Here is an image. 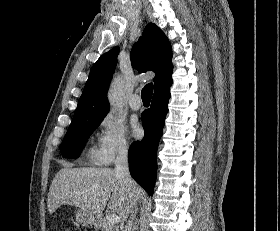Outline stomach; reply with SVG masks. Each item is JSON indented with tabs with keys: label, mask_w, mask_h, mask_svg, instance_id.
Segmentation results:
<instances>
[{
	"label": "stomach",
	"mask_w": 280,
	"mask_h": 231,
	"mask_svg": "<svg viewBox=\"0 0 280 231\" xmlns=\"http://www.w3.org/2000/svg\"><path fill=\"white\" fill-rule=\"evenodd\" d=\"M76 221L81 223V225H99L100 219H96V217H91L90 213L86 211V209H77L76 213Z\"/></svg>",
	"instance_id": "0dacf381"
}]
</instances>
